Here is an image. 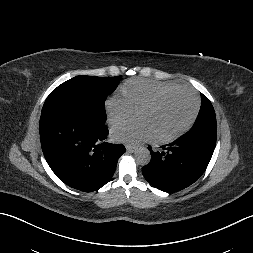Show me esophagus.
I'll use <instances>...</instances> for the list:
<instances>
[{"instance_id":"obj_1","label":"esophagus","mask_w":253,"mask_h":253,"mask_svg":"<svg viewBox=\"0 0 253 253\" xmlns=\"http://www.w3.org/2000/svg\"><path fill=\"white\" fill-rule=\"evenodd\" d=\"M126 150H127V152H129V153H133V152H135L136 148L133 147V146H126Z\"/></svg>"}]
</instances>
